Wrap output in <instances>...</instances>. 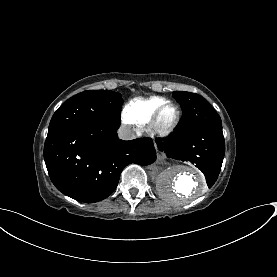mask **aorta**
Returning a JSON list of instances; mask_svg holds the SVG:
<instances>
[{"label":"aorta","instance_id":"aorta-1","mask_svg":"<svg viewBox=\"0 0 277 277\" xmlns=\"http://www.w3.org/2000/svg\"><path fill=\"white\" fill-rule=\"evenodd\" d=\"M157 188L160 195L174 205L185 204L207 191L201 172L182 163L167 166L157 178Z\"/></svg>","mask_w":277,"mask_h":277}]
</instances>
